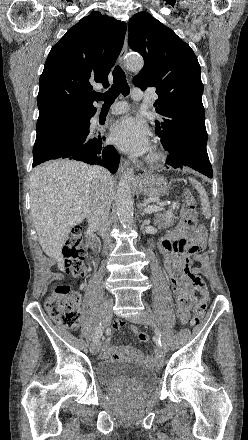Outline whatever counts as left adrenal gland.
Returning a JSON list of instances; mask_svg holds the SVG:
<instances>
[{
	"instance_id": "obj_1",
	"label": "left adrenal gland",
	"mask_w": 248,
	"mask_h": 440,
	"mask_svg": "<svg viewBox=\"0 0 248 440\" xmlns=\"http://www.w3.org/2000/svg\"><path fill=\"white\" fill-rule=\"evenodd\" d=\"M138 208H139V211H140V214H141V216H144V215H145V213H144V211H143L142 207H140V206L138 205Z\"/></svg>"
}]
</instances>
